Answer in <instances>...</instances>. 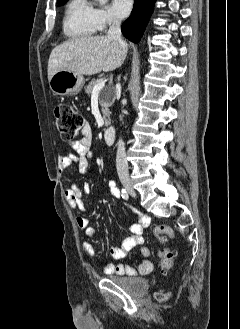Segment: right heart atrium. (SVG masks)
<instances>
[{
    "label": "right heart atrium",
    "instance_id": "obj_1",
    "mask_svg": "<svg viewBox=\"0 0 240 329\" xmlns=\"http://www.w3.org/2000/svg\"><path fill=\"white\" fill-rule=\"evenodd\" d=\"M93 16L97 30L99 31H104L109 26L119 22L118 18L106 6L94 8Z\"/></svg>",
    "mask_w": 240,
    "mask_h": 329
}]
</instances>
